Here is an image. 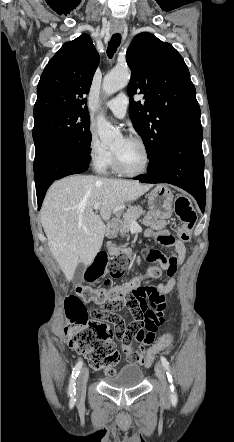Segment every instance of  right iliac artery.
<instances>
[{
  "label": "right iliac artery",
  "instance_id": "obj_1",
  "mask_svg": "<svg viewBox=\"0 0 234 442\" xmlns=\"http://www.w3.org/2000/svg\"><path fill=\"white\" fill-rule=\"evenodd\" d=\"M83 362L79 361L75 367L73 368L72 374H71V378H70V382H69V388H68V394L71 397V402L73 403L75 401V394H76V378L78 377V374L80 372V369L82 368Z\"/></svg>",
  "mask_w": 234,
  "mask_h": 442
}]
</instances>
